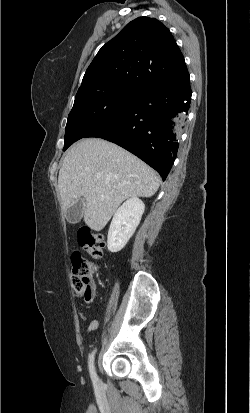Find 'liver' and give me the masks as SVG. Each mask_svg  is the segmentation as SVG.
<instances>
[{
  "label": "liver",
  "instance_id": "obj_1",
  "mask_svg": "<svg viewBox=\"0 0 250 413\" xmlns=\"http://www.w3.org/2000/svg\"><path fill=\"white\" fill-rule=\"evenodd\" d=\"M159 185L157 173L142 160L99 138L73 145L58 176L63 211L82 199L84 222L95 231L106 226L125 199L151 197Z\"/></svg>",
  "mask_w": 250,
  "mask_h": 413
}]
</instances>
